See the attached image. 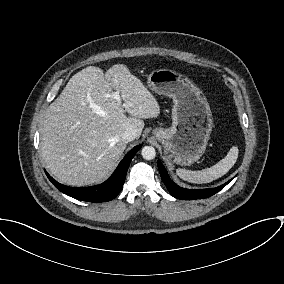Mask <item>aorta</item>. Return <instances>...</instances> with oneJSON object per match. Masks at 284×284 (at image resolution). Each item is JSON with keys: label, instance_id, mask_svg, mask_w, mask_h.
<instances>
[{"label": "aorta", "instance_id": "762f6f07", "mask_svg": "<svg viewBox=\"0 0 284 284\" xmlns=\"http://www.w3.org/2000/svg\"><path fill=\"white\" fill-rule=\"evenodd\" d=\"M141 155L145 160H152L156 156V150L152 146H145L142 148Z\"/></svg>", "mask_w": 284, "mask_h": 284}]
</instances>
